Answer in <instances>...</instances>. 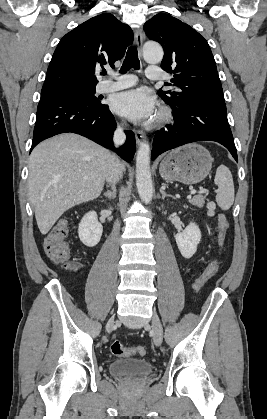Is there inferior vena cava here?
I'll return each mask as SVG.
<instances>
[{
	"instance_id": "obj_1",
	"label": "inferior vena cava",
	"mask_w": 267,
	"mask_h": 419,
	"mask_svg": "<svg viewBox=\"0 0 267 419\" xmlns=\"http://www.w3.org/2000/svg\"><path fill=\"white\" fill-rule=\"evenodd\" d=\"M126 136L121 127H118L114 132V144L120 146L125 142ZM123 167L119 161V158L115 155H111L108 162V169L106 174V181L111 184H115L119 181L122 176Z\"/></svg>"
}]
</instances>
